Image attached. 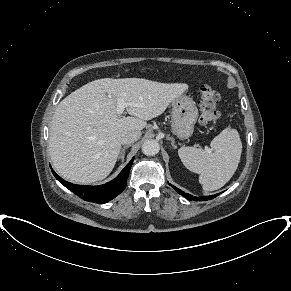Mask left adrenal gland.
<instances>
[{
  "mask_svg": "<svg viewBox=\"0 0 291 291\" xmlns=\"http://www.w3.org/2000/svg\"><path fill=\"white\" fill-rule=\"evenodd\" d=\"M167 140L171 141V145H172L173 149H177V146L175 144V139L173 137H170L169 135H167Z\"/></svg>",
  "mask_w": 291,
  "mask_h": 291,
  "instance_id": "left-adrenal-gland-1",
  "label": "left adrenal gland"
}]
</instances>
